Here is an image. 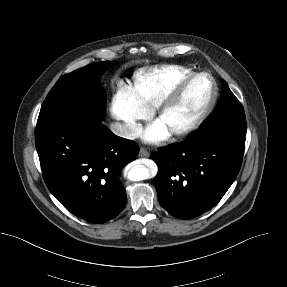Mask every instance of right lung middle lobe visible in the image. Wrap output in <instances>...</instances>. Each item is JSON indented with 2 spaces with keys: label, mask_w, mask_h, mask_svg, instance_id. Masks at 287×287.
<instances>
[{
  "label": "right lung middle lobe",
  "mask_w": 287,
  "mask_h": 287,
  "mask_svg": "<svg viewBox=\"0 0 287 287\" xmlns=\"http://www.w3.org/2000/svg\"><path fill=\"white\" fill-rule=\"evenodd\" d=\"M109 63L110 61L92 63L58 80L41 107L37 126L62 120L79 110L80 106L89 114L103 118L106 96L100 88L99 78Z\"/></svg>",
  "instance_id": "obj_1"
}]
</instances>
